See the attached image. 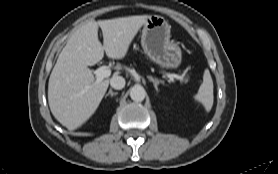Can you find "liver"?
Returning <instances> with one entry per match:
<instances>
[{
  "instance_id": "obj_1",
  "label": "liver",
  "mask_w": 278,
  "mask_h": 174,
  "mask_svg": "<svg viewBox=\"0 0 278 174\" xmlns=\"http://www.w3.org/2000/svg\"><path fill=\"white\" fill-rule=\"evenodd\" d=\"M149 15L88 21L70 37L58 56L48 83V102L53 116L68 130L81 127L98 108L109 79L96 83L93 66L104 57L122 59ZM103 45L98 39V28ZM115 72L113 76H117Z\"/></svg>"
}]
</instances>
